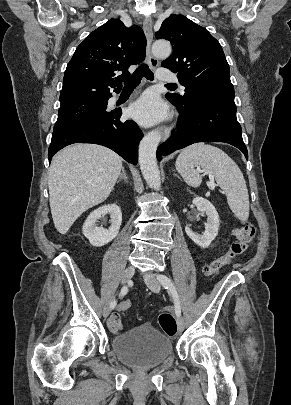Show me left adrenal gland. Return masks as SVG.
Listing matches in <instances>:
<instances>
[{
  "instance_id": "obj_1",
  "label": "left adrenal gland",
  "mask_w": 291,
  "mask_h": 405,
  "mask_svg": "<svg viewBox=\"0 0 291 405\" xmlns=\"http://www.w3.org/2000/svg\"><path fill=\"white\" fill-rule=\"evenodd\" d=\"M175 176H177L179 178V176L177 174H175Z\"/></svg>"
}]
</instances>
